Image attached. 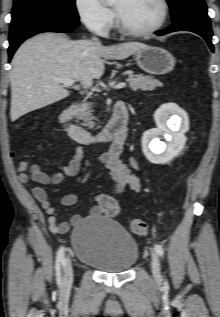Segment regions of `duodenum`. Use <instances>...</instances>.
<instances>
[{
    "label": "duodenum",
    "mask_w": 220,
    "mask_h": 317,
    "mask_svg": "<svg viewBox=\"0 0 220 317\" xmlns=\"http://www.w3.org/2000/svg\"><path fill=\"white\" fill-rule=\"evenodd\" d=\"M72 118V106L63 108L58 118L60 127L66 134L83 145L110 142L114 146L123 147L128 137V111L122 101L115 104L109 123L98 133H92L86 128L75 124Z\"/></svg>",
    "instance_id": "duodenum-1"
}]
</instances>
